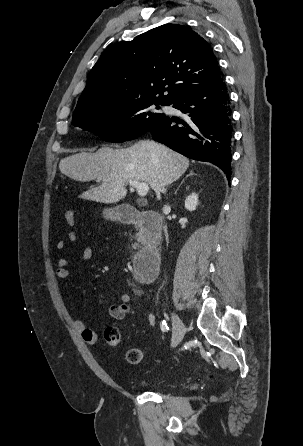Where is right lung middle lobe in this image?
<instances>
[{
    "label": "right lung middle lobe",
    "mask_w": 303,
    "mask_h": 446,
    "mask_svg": "<svg viewBox=\"0 0 303 446\" xmlns=\"http://www.w3.org/2000/svg\"><path fill=\"white\" fill-rule=\"evenodd\" d=\"M153 104L158 106L161 103L138 100L124 104L105 105L73 115L72 123L74 126L98 135L105 141L132 140L146 133L164 117V114L148 109Z\"/></svg>",
    "instance_id": "obj_1"
}]
</instances>
